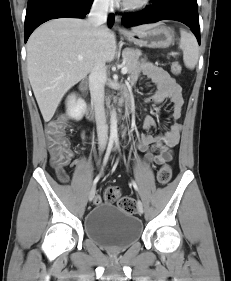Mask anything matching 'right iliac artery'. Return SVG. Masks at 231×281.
<instances>
[{"label":"right iliac artery","mask_w":231,"mask_h":281,"mask_svg":"<svg viewBox=\"0 0 231 281\" xmlns=\"http://www.w3.org/2000/svg\"><path fill=\"white\" fill-rule=\"evenodd\" d=\"M113 142H114V139H113V138H110V139H109V143H108V147H107V151H106V154H105V157H104V160H103V165L106 164V162H107V160H108V158H109L111 149H112V147H113ZM99 178H100V175H98V176L94 179V181H93V186L96 185V183L98 182Z\"/></svg>","instance_id":"right-iliac-artery-1"}]
</instances>
